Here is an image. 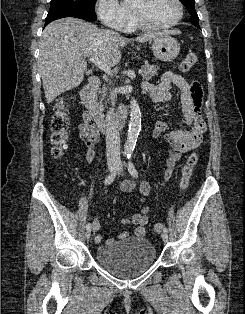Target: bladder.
Listing matches in <instances>:
<instances>
[{"mask_svg": "<svg viewBox=\"0 0 245 314\" xmlns=\"http://www.w3.org/2000/svg\"><path fill=\"white\" fill-rule=\"evenodd\" d=\"M156 249L146 238L105 242L95 251L96 261L109 272L131 277L147 270L156 261Z\"/></svg>", "mask_w": 245, "mask_h": 314, "instance_id": "bladder-1", "label": "bladder"}]
</instances>
